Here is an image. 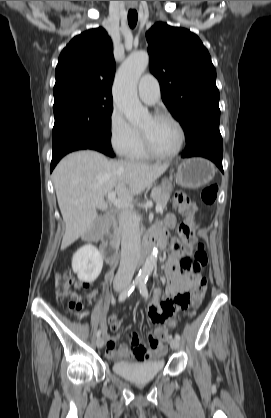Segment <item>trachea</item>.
Returning <instances> with one entry per match:
<instances>
[{
	"label": "trachea",
	"instance_id": "1",
	"mask_svg": "<svg viewBox=\"0 0 271 418\" xmlns=\"http://www.w3.org/2000/svg\"><path fill=\"white\" fill-rule=\"evenodd\" d=\"M138 14L136 10H129L128 23L131 28H134L137 24Z\"/></svg>",
	"mask_w": 271,
	"mask_h": 418
}]
</instances>
